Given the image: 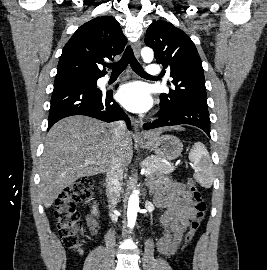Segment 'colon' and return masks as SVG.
<instances>
[{
	"instance_id": "5ec220e1",
	"label": "colon",
	"mask_w": 267,
	"mask_h": 270,
	"mask_svg": "<svg viewBox=\"0 0 267 270\" xmlns=\"http://www.w3.org/2000/svg\"><path fill=\"white\" fill-rule=\"evenodd\" d=\"M93 185L90 178H80L64 189L56 200L54 218L58 234L63 244L74 251H80L82 248V220L77 204L91 195ZM187 187L194 201V216L185 236L184 247L193 241L206 213V203L195 181L189 179Z\"/></svg>"
}]
</instances>
